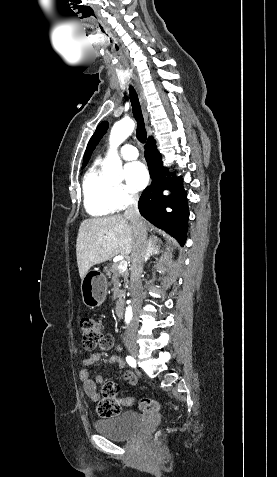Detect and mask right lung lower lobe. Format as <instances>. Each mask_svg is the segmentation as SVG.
Listing matches in <instances>:
<instances>
[{
    "label": "right lung lower lobe",
    "mask_w": 277,
    "mask_h": 477,
    "mask_svg": "<svg viewBox=\"0 0 277 477\" xmlns=\"http://www.w3.org/2000/svg\"><path fill=\"white\" fill-rule=\"evenodd\" d=\"M145 158L152 183L139 199V211L148 221L171 234L181 245H184L187 238L189 210L181 179L166 178L167 168L162 165L161 154L152 137L145 145ZM165 189H169L172 194L163 195ZM166 207H171L173 211L166 212Z\"/></svg>",
    "instance_id": "1"
}]
</instances>
